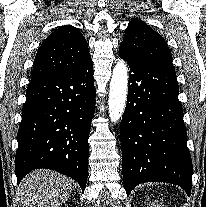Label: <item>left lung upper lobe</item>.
<instances>
[{
	"label": "left lung upper lobe",
	"mask_w": 206,
	"mask_h": 207,
	"mask_svg": "<svg viewBox=\"0 0 206 207\" xmlns=\"http://www.w3.org/2000/svg\"><path fill=\"white\" fill-rule=\"evenodd\" d=\"M119 51L149 64L175 71L172 55L161 35L137 18L126 28Z\"/></svg>",
	"instance_id": "left-lung-upper-lobe-1"
}]
</instances>
